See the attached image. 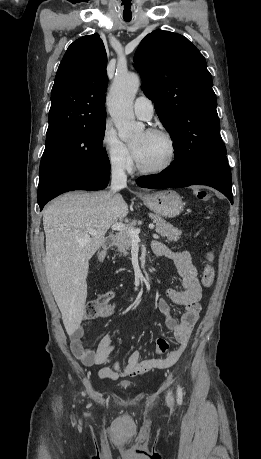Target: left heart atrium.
Instances as JSON below:
<instances>
[{
    "instance_id": "39dd6f15",
    "label": "left heart atrium",
    "mask_w": 261,
    "mask_h": 459,
    "mask_svg": "<svg viewBox=\"0 0 261 459\" xmlns=\"http://www.w3.org/2000/svg\"><path fill=\"white\" fill-rule=\"evenodd\" d=\"M134 155H135V158H136V160H137V158H138V153L134 151Z\"/></svg>"
}]
</instances>
